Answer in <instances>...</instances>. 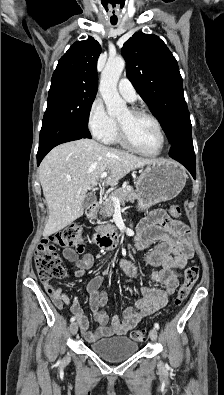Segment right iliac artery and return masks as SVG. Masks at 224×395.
<instances>
[{"mask_svg":"<svg viewBox=\"0 0 224 395\" xmlns=\"http://www.w3.org/2000/svg\"><path fill=\"white\" fill-rule=\"evenodd\" d=\"M70 321H71V322H74V321H75V317H72V318L70 319Z\"/></svg>","mask_w":224,"mask_h":395,"instance_id":"82829eb1","label":"right iliac artery"}]
</instances>
